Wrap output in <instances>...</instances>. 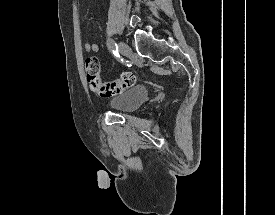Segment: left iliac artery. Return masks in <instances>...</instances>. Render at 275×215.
<instances>
[{
	"instance_id": "1",
	"label": "left iliac artery",
	"mask_w": 275,
	"mask_h": 215,
	"mask_svg": "<svg viewBox=\"0 0 275 215\" xmlns=\"http://www.w3.org/2000/svg\"><path fill=\"white\" fill-rule=\"evenodd\" d=\"M107 45L112 50L114 55H118V46L112 39L109 38L107 40Z\"/></svg>"
}]
</instances>
